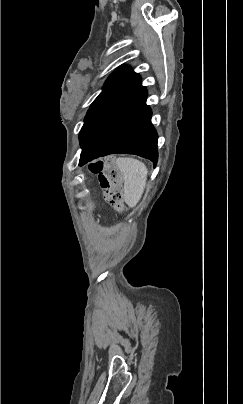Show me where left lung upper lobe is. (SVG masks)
Masks as SVG:
<instances>
[{"instance_id": "left-lung-upper-lobe-1", "label": "left lung upper lobe", "mask_w": 243, "mask_h": 404, "mask_svg": "<svg viewBox=\"0 0 243 404\" xmlns=\"http://www.w3.org/2000/svg\"><path fill=\"white\" fill-rule=\"evenodd\" d=\"M141 87L140 76L128 66H121L106 80L103 91L91 104L79 134L80 145L98 118L125 97Z\"/></svg>"}]
</instances>
